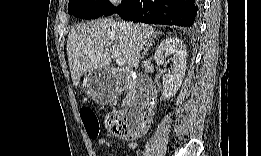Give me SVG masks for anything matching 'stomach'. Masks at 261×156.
Wrapping results in <instances>:
<instances>
[{
  "label": "stomach",
  "instance_id": "stomach-1",
  "mask_svg": "<svg viewBox=\"0 0 261 156\" xmlns=\"http://www.w3.org/2000/svg\"><path fill=\"white\" fill-rule=\"evenodd\" d=\"M82 88L91 96L101 99L106 91H112L111 74L106 68L90 71L82 84ZM109 92V93H110ZM108 94V93H107Z\"/></svg>",
  "mask_w": 261,
  "mask_h": 156
}]
</instances>
